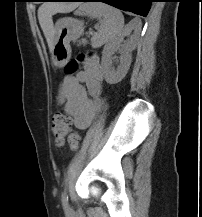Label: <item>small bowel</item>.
I'll return each mask as SVG.
<instances>
[{"label":"small bowel","instance_id":"small-bowel-1","mask_svg":"<svg viewBox=\"0 0 202 217\" xmlns=\"http://www.w3.org/2000/svg\"><path fill=\"white\" fill-rule=\"evenodd\" d=\"M103 71L97 58L76 75L65 76L58 87L59 102L73 117L76 128L86 129L104 105Z\"/></svg>","mask_w":202,"mask_h":217}]
</instances>
